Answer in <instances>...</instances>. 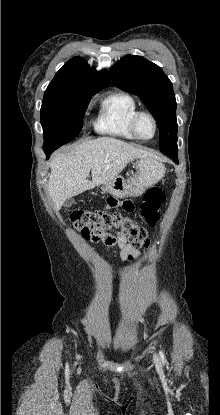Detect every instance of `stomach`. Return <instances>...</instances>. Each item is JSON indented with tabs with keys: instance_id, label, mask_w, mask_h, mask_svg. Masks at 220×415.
I'll return each instance as SVG.
<instances>
[{
	"instance_id": "0dacf381",
	"label": "stomach",
	"mask_w": 220,
	"mask_h": 415,
	"mask_svg": "<svg viewBox=\"0 0 220 415\" xmlns=\"http://www.w3.org/2000/svg\"><path fill=\"white\" fill-rule=\"evenodd\" d=\"M165 174L164 165L152 157L140 158L136 162V173L128 179L122 176L103 184L101 189L116 198L136 197L156 184Z\"/></svg>"
}]
</instances>
